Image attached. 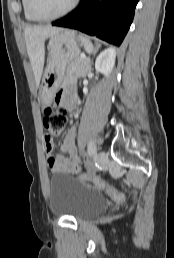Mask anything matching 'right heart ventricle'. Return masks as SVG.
<instances>
[{
	"mask_svg": "<svg viewBox=\"0 0 174 258\" xmlns=\"http://www.w3.org/2000/svg\"><path fill=\"white\" fill-rule=\"evenodd\" d=\"M22 8H23V13L24 16L26 18V20L30 21V22H35L38 21L37 19H35L29 12L28 7H27V0H22Z\"/></svg>",
	"mask_w": 174,
	"mask_h": 258,
	"instance_id": "right-heart-ventricle-1",
	"label": "right heart ventricle"
}]
</instances>
